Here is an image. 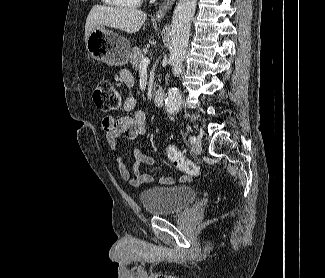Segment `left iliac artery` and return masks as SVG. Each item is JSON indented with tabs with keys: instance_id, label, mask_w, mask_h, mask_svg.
I'll return each instance as SVG.
<instances>
[{
	"instance_id": "obj_1",
	"label": "left iliac artery",
	"mask_w": 325,
	"mask_h": 278,
	"mask_svg": "<svg viewBox=\"0 0 325 278\" xmlns=\"http://www.w3.org/2000/svg\"><path fill=\"white\" fill-rule=\"evenodd\" d=\"M189 141H190V143L196 142V137L195 136H190Z\"/></svg>"
}]
</instances>
